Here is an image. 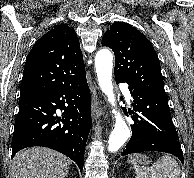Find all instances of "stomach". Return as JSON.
<instances>
[{
  "mask_svg": "<svg viewBox=\"0 0 194 178\" xmlns=\"http://www.w3.org/2000/svg\"><path fill=\"white\" fill-rule=\"evenodd\" d=\"M129 162H133V159H130ZM148 162H149L148 157L144 155V156H142V159H141L139 165H141V167H144L145 165L148 164Z\"/></svg>",
  "mask_w": 194,
  "mask_h": 178,
  "instance_id": "1",
  "label": "stomach"
}]
</instances>
